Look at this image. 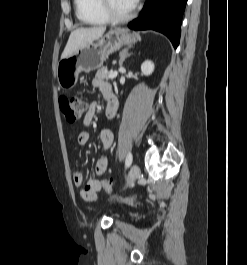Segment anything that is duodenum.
<instances>
[{
  "label": "duodenum",
  "instance_id": "duodenum-1",
  "mask_svg": "<svg viewBox=\"0 0 247 265\" xmlns=\"http://www.w3.org/2000/svg\"><path fill=\"white\" fill-rule=\"evenodd\" d=\"M106 96H107V101H108V104H109V103L111 102V100H112L111 90H109V91L107 92Z\"/></svg>",
  "mask_w": 247,
  "mask_h": 265
}]
</instances>
